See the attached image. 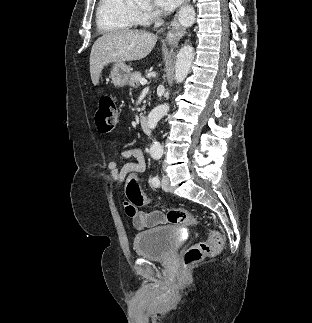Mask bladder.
I'll return each mask as SVG.
<instances>
[{"label": "bladder", "mask_w": 312, "mask_h": 323, "mask_svg": "<svg viewBox=\"0 0 312 323\" xmlns=\"http://www.w3.org/2000/svg\"><path fill=\"white\" fill-rule=\"evenodd\" d=\"M179 244L176 229L169 226H158L134 237L137 254L147 259H168Z\"/></svg>", "instance_id": "31cf9c89"}]
</instances>
